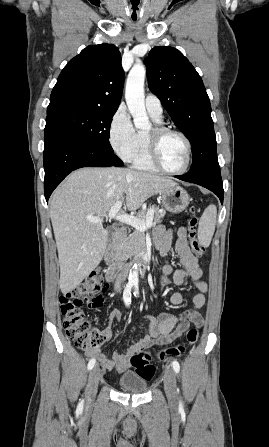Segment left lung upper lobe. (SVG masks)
Returning a JSON list of instances; mask_svg holds the SVG:
<instances>
[{"label": "left lung upper lobe", "instance_id": "obj_1", "mask_svg": "<svg viewBox=\"0 0 269 447\" xmlns=\"http://www.w3.org/2000/svg\"><path fill=\"white\" fill-rule=\"evenodd\" d=\"M145 64L149 89L192 145V166L185 175L220 174L210 100L197 71L180 51L167 46L153 48Z\"/></svg>", "mask_w": 269, "mask_h": 447}]
</instances>
